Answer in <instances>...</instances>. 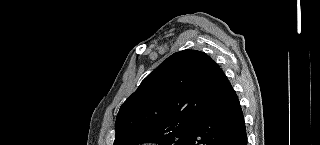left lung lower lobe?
I'll return each mask as SVG.
<instances>
[{
	"mask_svg": "<svg viewBox=\"0 0 320 145\" xmlns=\"http://www.w3.org/2000/svg\"><path fill=\"white\" fill-rule=\"evenodd\" d=\"M206 92V109L185 145H247L238 97L219 66L212 72Z\"/></svg>",
	"mask_w": 320,
	"mask_h": 145,
	"instance_id": "1",
	"label": "left lung lower lobe"
}]
</instances>
